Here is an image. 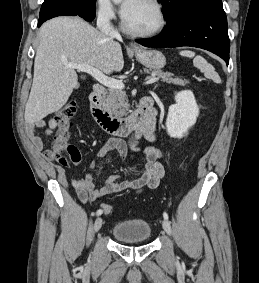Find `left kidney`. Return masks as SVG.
<instances>
[{"mask_svg": "<svg viewBox=\"0 0 259 283\" xmlns=\"http://www.w3.org/2000/svg\"><path fill=\"white\" fill-rule=\"evenodd\" d=\"M175 102L168 109L166 128L171 138L181 139L187 135L188 130L196 123L199 108L190 90L177 93Z\"/></svg>", "mask_w": 259, "mask_h": 283, "instance_id": "1", "label": "left kidney"}]
</instances>
